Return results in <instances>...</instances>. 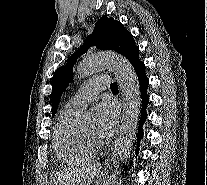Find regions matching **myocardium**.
I'll return each mask as SVG.
<instances>
[{"mask_svg":"<svg viewBox=\"0 0 207 185\" xmlns=\"http://www.w3.org/2000/svg\"><path fill=\"white\" fill-rule=\"evenodd\" d=\"M84 137L86 138L87 142L95 149L99 150L104 146L103 140L96 134V133H86L82 131Z\"/></svg>","mask_w":207,"mask_h":185,"instance_id":"f54148a6","label":"myocardium"}]
</instances>
